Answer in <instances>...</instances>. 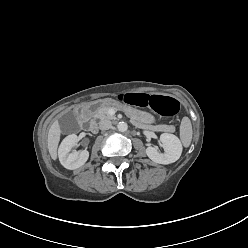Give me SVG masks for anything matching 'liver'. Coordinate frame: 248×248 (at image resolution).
Listing matches in <instances>:
<instances>
[{"instance_id":"1","label":"liver","mask_w":248,"mask_h":248,"mask_svg":"<svg viewBox=\"0 0 248 248\" xmlns=\"http://www.w3.org/2000/svg\"><path fill=\"white\" fill-rule=\"evenodd\" d=\"M60 136H61V128L58 120H56L49 129L48 139H47L48 150L53 160L57 159V148L60 141Z\"/></svg>"}]
</instances>
